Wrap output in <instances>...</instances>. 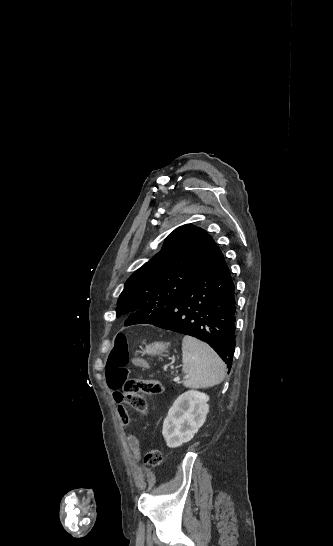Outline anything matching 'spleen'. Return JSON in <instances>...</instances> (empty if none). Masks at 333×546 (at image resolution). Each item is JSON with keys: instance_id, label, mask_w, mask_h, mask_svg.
<instances>
[{"instance_id": "1", "label": "spleen", "mask_w": 333, "mask_h": 546, "mask_svg": "<svg viewBox=\"0 0 333 546\" xmlns=\"http://www.w3.org/2000/svg\"><path fill=\"white\" fill-rule=\"evenodd\" d=\"M183 385L205 388L220 384L226 374V366L218 354L206 343L185 336L182 340Z\"/></svg>"}]
</instances>
